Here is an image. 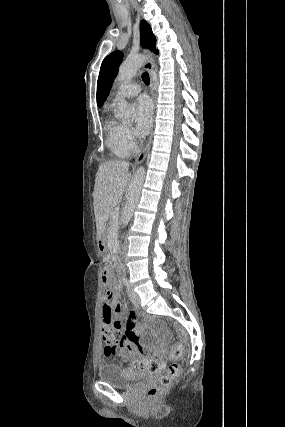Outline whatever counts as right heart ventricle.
Instances as JSON below:
<instances>
[{"label": "right heart ventricle", "instance_id": "obj_1", "mask_svg": "<svg viewBox=\"0 0 285 427\" xmlns=\"http://www.w3.org/2000/svg\"><path fill=\"white\" fill-rule=\"evenodd\" d=\"M106 145L113 155L117 158H126L132 152V149L124 140V125L107 117L105 121Z\"/></svg>", "mask_w": 285, "mask_h": 427}]
</instances>
